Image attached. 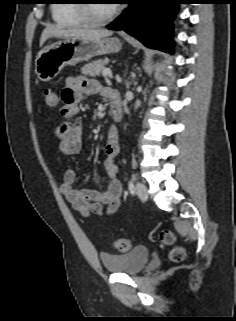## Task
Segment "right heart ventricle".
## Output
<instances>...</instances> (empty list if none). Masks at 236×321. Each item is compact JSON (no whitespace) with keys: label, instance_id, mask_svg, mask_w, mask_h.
<instances>
[{"label":"right heart ventricle","instance_id":"1","mask_svg":"<svg viewBox=\"0 0 236 321\" xmlns=\"http://www.w3.org/2000/svg\"><path fill=\"white\" fill-rule=\"evenodd\" d=\"M78 6L79 0H59L52 6L53 21L63 27L84 25L86 21Z\"/></svg>","mask_w":236,"mask_h":321}]
</instances>
